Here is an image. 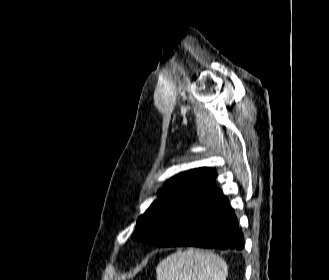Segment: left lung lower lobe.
Segmentation results:
<instances>
[{"label": "left lung lower lobe", "mask_w": 329, "mask_h": 280, "mask_svg": "<svg viewBox=\"0 0 329 280\" xmlns=\"http://www.w3.org/2000/svg\"><path fill=\"white\" fill-rule=\"evenodd\" d=\"M160 234L169 236L165 246L244 248L243 233L234 211L217 189H208L181 205L173 214L172 222L163 226Z\"/></svg>", "instance_id": "left-lung-lower-lobe-1"}]
</instances>
